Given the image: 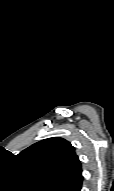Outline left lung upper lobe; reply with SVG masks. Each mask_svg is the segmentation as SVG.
<instances>
[{
	"mask_svg": "<svg viewBox=\"0 0 114 191\" xmlns=\"http://www.w3.org/2000/svg\"><path fill=\"white\" fill-rule=\"evenodd\" d=\"M19 169L38 191H69L82 174L75 148L67 140H41L17 155Z\"/></svg>",
	"mask_w": 114,
	"mask_h": 191,
	"instance_id": "left-lung-upper-lobe-1",
	"label": "left lung upper lobe"
}]
</instances>
